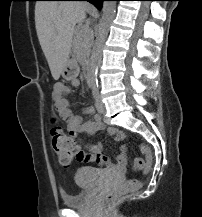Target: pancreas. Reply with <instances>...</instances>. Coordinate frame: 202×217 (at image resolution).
Masks as SVG:
<instances>
[{
    "label": "pancreas",
    "instance_id": "obj_1",
    "mask_svg": "<svg viewBox=\"0 0 202 217\" xmlns=\"http://www.w3.org/2000/svg\"><path fill=\"white\" fill-rule=\"evenodd\" d=\"M93 33L88 26L76 29L73 40V51L78 57L81 55L85 58L90 52L92 45Z\"/></svg>",
    "mask_w": 202,
    "mask_h": 217
}]
</instances>
